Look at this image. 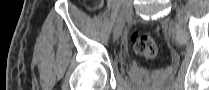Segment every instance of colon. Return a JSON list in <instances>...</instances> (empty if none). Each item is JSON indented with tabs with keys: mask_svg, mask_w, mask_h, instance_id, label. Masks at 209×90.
<instances>
[{
	"mask_svg": "<svg viewBox=\"0 0 209 90\" xmlns=\"http://www.w3.org/2000/svg\"><path fill=\"white\" fill-rule=\"evenodd\" d=\"M131 42L136 53L145 59H152L158 53L157 43L150 35L133 32Z\"/></svg>",
	"mask_w": 209,
	"mask_h": 90,
	"instance_id": "5ec220e1",
	"label": "colon"
}]
</instances>
